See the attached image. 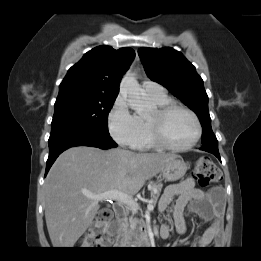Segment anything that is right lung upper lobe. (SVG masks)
I'll list each match as a JSON object with an SVG mask.
<instances>
[{"label": "right lung upper lobe", "instance_id": "obj_1", "mask_svg": "<svg viewBox=\"0 0 261 261\" xmlns=\"http://www.w3.org/2000/svg\"><path fill=\"white\" fill-rule=\"evenodd\" d=\"M135 52L129 47L98 46L72 66L59 86V95L116 96L122 75Z\"/></svg>", "mask_w": 261, "mask_h": 261}]
</instances>
